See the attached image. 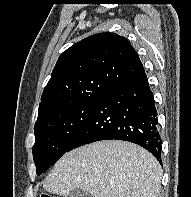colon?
<instances>
[{"instance_id": "1", "label": "colon", "mask_w": 191, "mask_h": 197, "mask_svg": "<svg viewBox=\"0 0 191 197\" xmlns=\"http://www.w3.org/2000/svg\"><path fill=\"white\" fill-rule=\"evenodd\" d=\"M39 197H52L51 195L47 194V193H42L40 194Z\"/></svg>"}]
</instances>
